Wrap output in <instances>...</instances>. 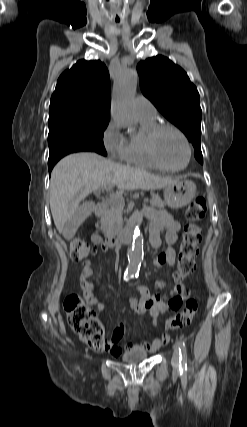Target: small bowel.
<instances>
[{
    "label": "small bowel",
    "mask_w": 247,
    "mask_h": 427,
    "mask_svg": "<svg viewBox=\"0 0 247 427\" xmlns=\"http://www.w3.org/2000/svg\"><path fill=\"white\" fill-rule=\"evenodd\" d=\"M147 214L152 218L149 227L150 243L154 248H159L162 244L161 233L164 234V241L167 245L165 251L159 254L154 260L156 268L162 267L164 264L169 266L175 265V251L171 247L178 240V232L180 223L166 211H147ZM95 245H101L103 240L98 234L91 237ZM83 269L80 275V287L83 292V297L86 303L90 306H96L98 311L104 308L103 303L94 293V283L90 281L93 275V268L89 261L83 262ZM139 298H131L130 306L138 315H144L149 312L152 317V325H157V318L160 314L167 313L171 310L180 308L182 302L189 296L188 290L183 283L176 284L170 297H162L160 295H151L148 288L138 286ZM125 333V328L120 323L112 333L108 340L106 351L112 356H118L123 349L122 341ZM169 335L163 334L160 337L154 338L152 341H141L138 344H130L125 348L136 349L140 348L148 352H155L169 342Z\"/></svg>",
    "instance_id": "c3829d8e"
}]
</instances>
